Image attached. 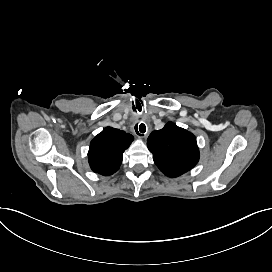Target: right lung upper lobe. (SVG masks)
Wrapping results in <instances>:
<instances>
[{"mask_svg":"<svg viewBox=\"0 0 272 272\" xmlns=\"http://www.w3.org/2000/svg\"><path fill=\"white\" fill-rule=\"evenodd\" d=\"M134 137L122 130L106 127L90 143L88 159L91 169L108 176L116 172L123 159V152Z\"/></svg>","mask_w":272,"mask_h":272,"instance_id":"cb5924a9","label":"right lung upper lobe"}]
</instances>
